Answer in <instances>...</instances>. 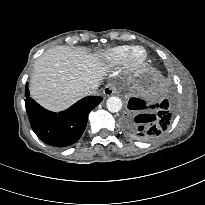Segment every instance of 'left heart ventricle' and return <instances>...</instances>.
<instances>
[{
	"instance_id": "left-heart-ventricle-1",
	"label": "left heart ventricle",
	"mask_w": 205,
	"mask_h": 205,
	"mask_svg": "<svg viewBox=\"0 0 205 205\" xmlns=\"http://www.w3.org/2000/svg\"><path fill=\"white\" fill-rule=\"evenodd\" d=\"M142 55H143V52H142L141 50H138V51L135 53V57H136L137 59L141 58Z\"/></svg>"
}]
</instances>
